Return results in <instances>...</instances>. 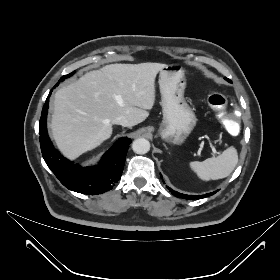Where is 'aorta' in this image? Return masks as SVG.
Listing matches in <instances>:
<instances>
[{"label": "aorta", "instance_id": "obj_1", "mask_svg": "<svg viewBox=\"0 0 280 280\" xmlns=\"http://www.w3.org/2000/svg\"><path fill=\"white\" fill-rule=\"evenodd\" d=\"M132 150L136 154H145L150 150V142L145 138H138L133 141Z\"/></svg>", "mask_w": 280, "mask_h": 280}]
</instances>
